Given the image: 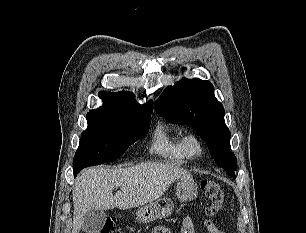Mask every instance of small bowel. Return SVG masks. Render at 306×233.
I'll return each instance as SVG.
<instances>
[{"label": "small bowel", "mask_w": 306, "mask_h": 233, "mask_svg": "<svg viewBox=\"0 0 306 233\" xmlns=\"http://www.w3.org/2000/svg\"><path fill=\"white\" fill-rule=\"evenodd\" d=\"M204 226L208 233H224L211 220H205ZM155 230H160V233H171V230L167 227H159ZM181 233H195L194 223L189 216H186L183 220Z\"/></svg>", "instance_id": "1"}]
</instances>
